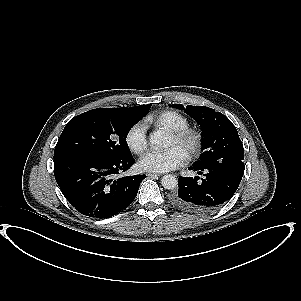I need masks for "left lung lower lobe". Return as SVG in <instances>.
I'll use <instances>...</instances> for the list:
<instances>
[{"instance_id":"0a47b994","label":"left lung lower lobe","mask_w":301,"mask_h":301,"mask_svg":"<svg viewBox=\"0 0 301 301\" xmlns=\"http://www.w3.org/2000/svg\"><path fill=\"white\" fill-rule=\"evenodd\" d=\"M238 158H227L204 168H192L199 176L180 177L178 191L172 195L174 205L184 210L210 212L218 209L236 191L244 172Z\"/></svg>"}]
</instances>
